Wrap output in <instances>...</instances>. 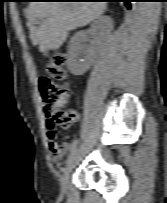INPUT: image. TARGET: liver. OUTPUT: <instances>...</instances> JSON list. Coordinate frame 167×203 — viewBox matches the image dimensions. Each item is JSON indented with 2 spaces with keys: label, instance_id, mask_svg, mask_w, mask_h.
<instances>
[{
  "label": "liver",
  "instance_id": "obj_1",
  "mask_svg": "<svg viewBox=\"0 0 167 203\" xmlns=\"http://www.w3.org/2000/svg\"><path fill=\"white\" fill-rule=\"evenodd\" d=\"M106 10L105 2H30L28 27L34 46L46 56L58 49L68 32L99 18Z\"/></svg>",
  "mask_w": 167,
  "mask_h": 203
}]
</instances>
